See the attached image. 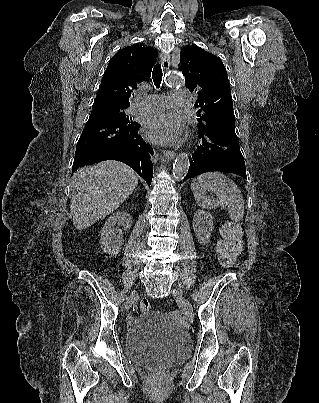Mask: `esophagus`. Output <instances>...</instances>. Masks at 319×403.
Listing matches in <instances>:
<instances>
[{
	"instance_id": "esophagus-1",
	"label": "esophagus",
	"mask_w": 319,
	"mask_h": 403,
	"mask_svg": "<svg viewBox=\"0 0 319 403\" xmlns=\"http://www.w3.org/2000/svg\"><path fill=\"white\" fill-rule=\"evenodd\" d=\"M161 64L164 71H167L170 67V55L168 53L162 52L160 54ZM165 158L172 160L175 157V152L171 150H165L163 152Z\"/></svg>"
}]
</instances>
